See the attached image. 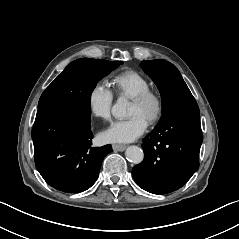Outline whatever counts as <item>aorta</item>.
<instances>
[{"label": "aorta", "mask_w": 239, "mask_h": 239, "mask_svg": "<svg viewBox=\"0 0 239 239\" xmlns=\"http://www.w3.org/2000/svg\"><path fill=\"white\" fill-rule=\"evenodd\" d=\"M130 106L131 103L127 99L119 98L111 109L112 115L119 120L126 119L128 117V108ZM125 156L134 164H139L142 162L144 154L140 147L129 146L126 149Z\"/></svg>", "instance_id": "1"}]
</instances>
